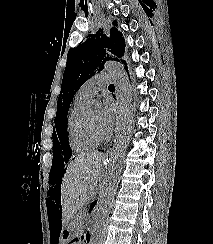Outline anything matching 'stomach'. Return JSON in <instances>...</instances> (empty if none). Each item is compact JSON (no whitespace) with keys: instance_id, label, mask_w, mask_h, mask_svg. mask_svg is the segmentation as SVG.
Listing matches in <instances>:
<instances>
[{"instance_id":"obj_1","label":"stomach","mask_w":213,"mask_h":244,"mask_svg":"<svg viewBox=\"0 0 213 244\" xmlns=\"http://www.w3.org/2000/svg\"><path fill=\"white\" fill-rule=\"evenodd\" d=\"M62 239L58 240L59 244H70V239H76L78 228L75 225V221H66L63 223Z\"/></svg>"}]
</instances>
